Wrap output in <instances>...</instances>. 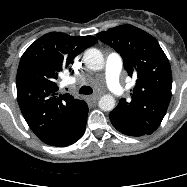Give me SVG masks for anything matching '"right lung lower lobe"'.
<instances>
[{
  "label": "right lung lower lobe",
  "mask_w": 187,
  "mask_h": 187,
  "mask_svg": "<svg viewBox=\"0 0 187 187\" xmlns=\"http://www.w3.org/2000/svg\"><path fill=\"white\" fill-rule=\"evenodd\" d=\"M88 115V106L83 111L81 116L75 122V124L64 135L56 139L54 142L48 144L51 146H68L79 140L85 132L86 121Z\"/></svg>",
  "instance_id": "right-lung-lower-lobe-1"
}]
</instances>
